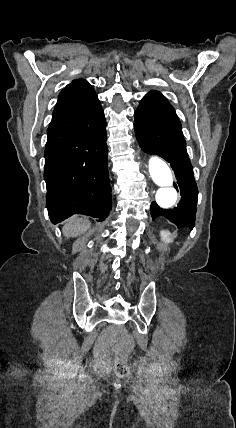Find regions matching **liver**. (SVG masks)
Wrapping results in <instances>:
<instances>
[{
  "mask_svg": "<svg viewBox=\"0 0 236 428\" xmlns=\"http://www.w3.org/2000/svg\"><path fill=\"white\" fill-rule=\"evenodd\" d=\"M87 228H90L89 222L87 220H82V218H69L67 220L62 232L66 238H76L80 234H84Z\"/></svg>",
  "mask_w": 236,
  "mask_h": 428,
  "instance_id": "obj_1",
  "label": "liver"
}]
</instances>
